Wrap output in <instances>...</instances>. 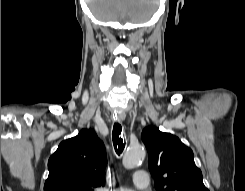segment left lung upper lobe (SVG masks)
<instances>
[{
	"label": "left lung upper lobe",
	"instance_id": "5c2ea615",
	"mask_svg": "<svg viewBox=\"0 0 245 191\" xmlns=\"http://www.w3.org/2000/svg\"><path fill=\"white\" fill-rule=\"evenodd\" d=\"M157 191H209L191 148L170 133L149 126L141 134Z\"/></svg>",
	"mask_w": 245,
	"mask_h": 191
}]
</instances>
